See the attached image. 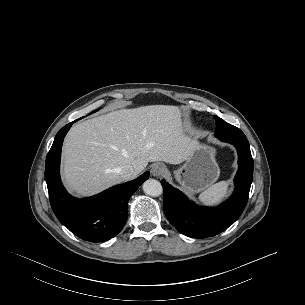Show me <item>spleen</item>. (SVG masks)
Listing matches in <instances>:
<instances>
[{
	"instance_id": "3e777b00",
	"label": "spleen",
	"mask_w": 305,
	"mask_h": 305,
	"mask_svg": "<svg viewBox=\"0 0 305 305\" xmlns=\"http://www.w3.org/2000/svg\"><path fill=\"white\" fill-rule=\"evenodd\" d=\"M228 193V182L221 181L211 185L199 195V200L203 204L212 205L219 203Z\"/></svg>"
}]
</instances>
